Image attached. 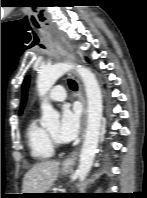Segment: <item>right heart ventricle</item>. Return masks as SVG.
<instances>
[{
    "mask_svg": "<svg viewBox=\"0 0 147 198\" xmlns=\"http://www.w3.org/2000/svg\"><path fill=\"white\" fill-rule=\"evenodd\" d=\"M25 137L30 155L33 159L44 161L53 156L54 148L48 138L47 130L39 125L35 118H32L28 122Z\"/></svg>",
    "mask_w": 147,
    "mask_h": 198,
    "instance_id": "1",
    "label": "right heart ventricle"
}]
</instances>
